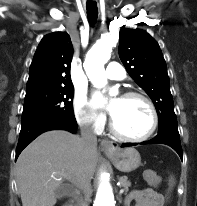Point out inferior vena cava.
<instances>
[{
  "label": "inferior vena cava",
  "instance_id": "602c4592",
  "mask_svg": "<svg viewBox=\"0 0 197 206\" xmlns=\"http://www.w3.org/2000/svg\"><path fill=\"white\" fill-rule=\"evenodd\" d=\"M81 130V141L85 151L92 150L97 147V136L93 132V129L90 125L84 124L80 127ZM81 189L84 194H87L90 190L89 183H83ZM79 206H86L85 201L81 199Z\"/></svg>",
  "mask_w": 197,
  "mask_h": 206
}]
</instances>
